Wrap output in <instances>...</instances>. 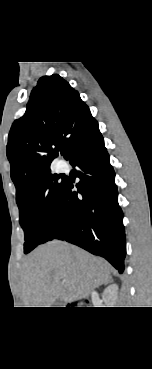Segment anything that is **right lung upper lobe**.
Masks as SVG:
<instances>
[{"instance_id":"1","label":"right lung upper lobe","mask_w":152,"mask_h":369,"mask_svg":"<svg viewBox=\"0 0 152 369\" xmlns=\"http://www.w3.org/2000/svg\"><path fill=\"white\" fill-rule=\"evenodd\" d=\"M98 130V122L79 93L57 74L39 79L25 114L14 121L8 136L7 157L16 198L40 177L61 154L73 150Z\"/></svg>"}]
</instances>
